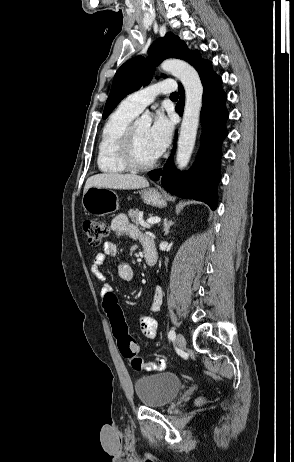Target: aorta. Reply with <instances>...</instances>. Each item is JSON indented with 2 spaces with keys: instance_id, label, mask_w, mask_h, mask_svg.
<instances>
[{
  "instance_id": "obj_1",
  "label": "aorta",
  "mask_w": 294,
  "mask_h": 462,
  "mask_svg": "<svg viewBox=\"0 0 294 462\" xmlns=\"http://www.w3.org/2000/svg\"><path fill=\"white\" fill-rule=\"evenodd\" d=\"M161 68L177 77L185 89V106L176 154L177 166L183 170L190 161L196 141L203 86L197 71L184 61L168 59L161 64Z\"/></svg>"
}]
</instances>
